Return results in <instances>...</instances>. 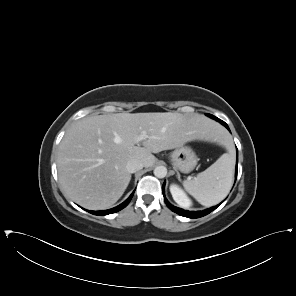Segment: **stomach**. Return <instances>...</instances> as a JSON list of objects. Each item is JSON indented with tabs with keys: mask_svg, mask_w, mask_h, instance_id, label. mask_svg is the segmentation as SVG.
<instances>
[{
	"mask_svg": "<svg viewBox=\"0 0 296 296\" xmlns=\"http://www.w3.org/2000/svg\"><path fill=\"white\" fill-rule=\"evenodd\" d=\"M170 161L176 170L189 173L196 167L198 158L189 146H181L171 153Z\"/></svg>",
	"mask_w": 296,
	"mask_h": 296,
	"instance_id": "1",
	"label": "stomach"
}]
</instances>
